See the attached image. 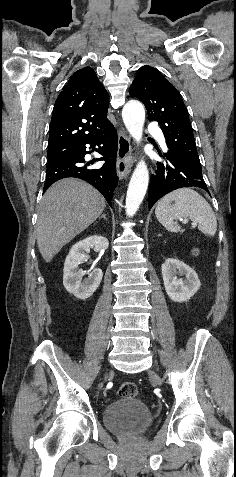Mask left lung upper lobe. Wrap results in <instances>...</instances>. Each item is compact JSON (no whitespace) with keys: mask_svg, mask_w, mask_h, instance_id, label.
Wrapping results in <instances>:
<instances>
[{"mask_svg":"<svg viewBox=\"0 0 236 477\" xmlns=\"http://www.w3.org/2000/svg\"><path fill=\"white\" fill-rule=\"evenodd\" d=\"M132 97L145 105L149 121H157L166 138L168 152L201 167L188 111L177 89L155 68L141 67L130 87Z\"/></svg>","mask_w":236,"mask_h":477,"instance_id":"1","label":"left lung upper lobe"}]
</instances>
